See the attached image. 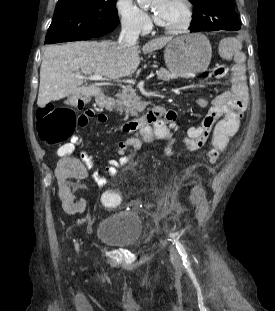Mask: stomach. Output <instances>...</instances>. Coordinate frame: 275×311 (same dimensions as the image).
Masks as SVG:
<instances>
[{
    "mask_svg": "<svg viewBox=\"0 0 275 311\" xmlns=\"http://www.w3.org/2000/svg\"><path fill=\"white\" fill-rule=\"evenodd\" d=\"M211 57V44L207 37L200 33L176 37L164 50L168 70L176 77L182 78H193L205 72Z\"/></svg>",
    "mask_w": 275,
    "mask_h": 311,
    "instance_id": "stomach-1",
    "label": "stomach"
}]
</instances>
